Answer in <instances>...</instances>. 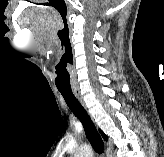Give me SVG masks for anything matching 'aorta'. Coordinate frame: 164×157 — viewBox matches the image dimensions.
Here are the masks:
<instances>
[{
    "mask_svg": "<svg viewBox=\"0 0 164 157\" xmlns=\"http://www.w3.org/2000/svg\"><path fill=\"white\" fill-rule=\"evenodd\" d=\"M74 157H93V150L90 145L84 144L76 152Z\"/></svg>",
    "mask_w": 164,
    "mask_h": 157,
    "instance_id": "aorta-1",
    "label": "aorta"
}]
</instances>
